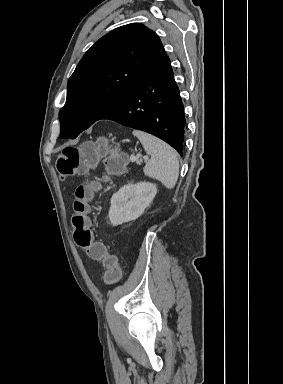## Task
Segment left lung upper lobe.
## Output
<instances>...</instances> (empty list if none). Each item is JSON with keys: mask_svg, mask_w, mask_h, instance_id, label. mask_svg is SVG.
<instances>
[{"mask_svg": "<svg viewBox=\"0 0 283 384\" xmlns=\"http://www.w3.org/2000/svg\"><path fill=\"white\" fill-rule=\"evenodd\" d=\"M165 56L158 35L140 23L100 38L68 80L59 137L74 139L112 111Z\"/></svg>", "mask_w": 283, "mask_h": 384, "instance_id": "1", "label": "left lung upper lobe"}]
</instances>
